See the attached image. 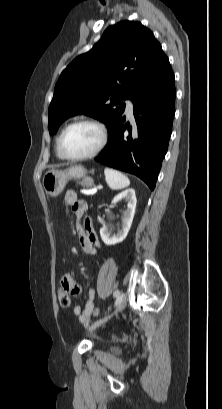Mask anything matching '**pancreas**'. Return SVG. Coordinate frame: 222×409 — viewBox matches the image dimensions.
I'll use <instances>...</instances> for the list:
<instances>
[{"mask_svg": "<svg viewBox=\"0 0 222 409\" xmlns=\"http://www.w3.org/2000/svg\"><path fill=\"white\" fill-rule=\"evenodd\" d=\"M93 180L91 178L84 179L80 184L82 187H90L93 185Z\"/></svg>", "mask_w": 222, "mask_h": 409, "instance_id": "pancreas-1", "label": "pancreas"}]
</instances>
